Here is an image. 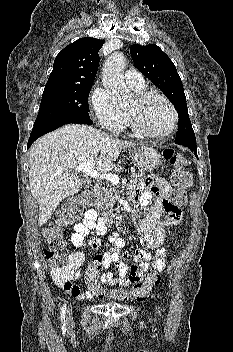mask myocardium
<instances>
[{
    "label": "myocardium",
    "instance_id": "f54148a6",
    "mask_svg": "<svg viewBox=\"0 0 233 352\" xmlns=\"http://www.w3.org/2000/svg\"><path fill=\"white\" fill-rule=\"evenodd\" d=\"M155 98H159V99L163 100L168 105V107L172 113V123L167 131H165L163 133H151V132L146 131L140 125L137 117L129 111H128V120H129V123H130V126H131L133 132L136 133L137 135H139L143 138H147V139L159 140V139H164L173 133V131L177 127L179 118H178V112H177L174 104L170 101V99L167 96H165L161 93H157V92L142 93V94L138 95L137 101L140 105H144Z\"/></svg>",
    "mask_w": 233,
    "mask_h": 352
}]
</instances>
